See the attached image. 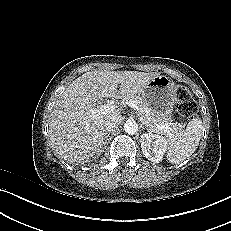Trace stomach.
<instances>
[{"label":"stomach","mask_w":231,"mask_h":231,"mask_svg":"<svg viewBox=\"0 0 231 231\" xmlns=\"http://www.w3.org/2000/svg\"><path fill=\"white\" fill-rule=\"evenodd\" d=\"M139 95L149 110L165 118L171 117L177 98L176 86L169 77H154Z\"/></svg>","instance_id":"1"}]
</instances>
